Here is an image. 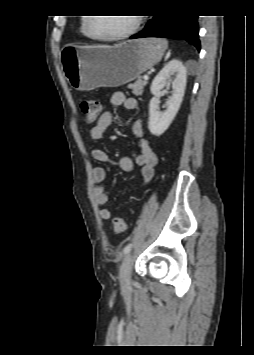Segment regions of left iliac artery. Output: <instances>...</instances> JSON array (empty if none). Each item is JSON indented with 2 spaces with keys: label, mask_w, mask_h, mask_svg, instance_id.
Listing matches in <instances>:
<instances>
[{
  "label": "left iliac artery",
  "mask_w": 254,
  "mask_h": 355,
  "mask_svg": "<svg viewBox=\"0 0 254 355\" xmlns=\"http://www.w3.org/2000/svg\"><path fill=\"white\" fill-rule=\"evenodd\" d=\"M132 249V244H128L127 246H125V248L123 249V254L126 255L128 254Z\"/></svg>",
  "instance_id": "left-iliac-artery-1"
}]
</instances>
